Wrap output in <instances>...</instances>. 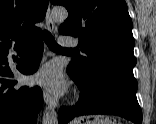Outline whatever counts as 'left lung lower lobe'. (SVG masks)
Listing matches in <instances>:
<instances>
[{
	"instance_id": "1",
	"label": "left lung lower lobe",
	"mask_w": 156,
	"mask_h": 124,
	"mask_svg": "<svg viewBox=\"0 0 156 124\" xmlns=\"http://www.w3.org/2000/svg\"><path fill=\"white\" fill-rule=\"evenodd\" d=\"M67 73L80 89V98L75 106L60 108L59 124L91 114L118 115L135 124L142 123L135 78L116 71H104L79 82L68 71Z\"/></svg>"
}]
</instances>
